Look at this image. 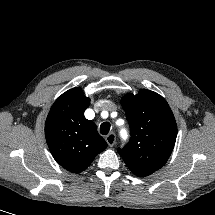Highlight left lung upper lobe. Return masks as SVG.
Segmentation results:
<instances>
[{
  "label": "left lung upper lobe",
  "instance_id": "left-lung-upper-lobe-1",
  "mask_svg": "<svg viewBox=\"0 0 215 215\" xmlns=\"http://www.w3.org/2000/svg\"><path fill=\"white\" fill-rule=\"evenodd\" d=\"M121 105L131 138L118 152L136 176H148L162 168L172 153L177 136L175 118L166 100L146 89L123 96Z\"/></svg>",
  "mask_w": 215,
  "mask_h": 215
}]
</instances>
